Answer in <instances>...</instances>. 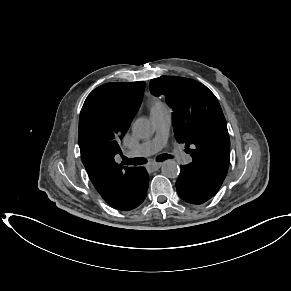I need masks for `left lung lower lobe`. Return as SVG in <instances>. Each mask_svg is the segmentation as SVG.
<instances>
[{"label":"left lung lower lobe","instance_id":"1","mask_svg":"<svg viewBox=\"0 0 291 291\" xmlns=\"http://www.w3.org/2000/svg\"><path fill=\"white\" fill-rule=\"evenodd\" d=\"M222 183V180L188 164L181 165V171L176 181V189L180 198L185 202L202 204L218 192Z\"/></svg>","mask_w":291,"mask_h":291}]
</instances>
